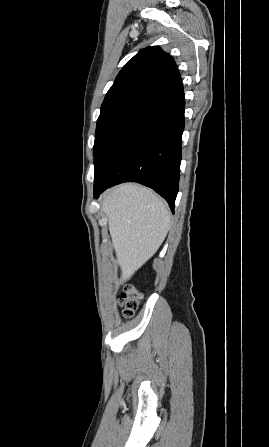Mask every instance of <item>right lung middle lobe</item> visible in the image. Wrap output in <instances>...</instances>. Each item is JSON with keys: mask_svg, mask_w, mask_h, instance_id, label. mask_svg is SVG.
Masks as SVG:
<instances>
[{"mask_svg": "<svg viewBox=\"0 0 269 447\" xmlns=\"http://www.w3.org/2000/svg\"><path fill=\"white\" fill-rule=\"evenodd\" d=\"M136 108H121L103 115H100L97 121L95 132V143L93 148V155L96 159L101 152L103 146L114 133L119 124L130 113L136 111ZM95 161V160H94Z\"/></svg>", "mask_w": 269, "mask_h": 447, "instance_id": "obj_1", "label": "right lung middle lobe"}]
</instances>
